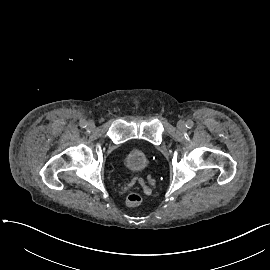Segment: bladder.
<instances>
[{
  "label": "bladder",
  "mask_w": 270,
  "mask_h": 270,
  "mask_svg": "<svg viewBox=\"0 0 270 270\" xmlns=\"http://www.w3.org/2000/svg\"><path fill=\"white\" fill-rule=\"evenodd\" d=\"M126 165L132 171H139L144 169L146 163L152 152L147 149H141L137 144L130 145L127 149Z\"/></svg>",
  "instance_id": "bladder-1"
}]
</instances>
